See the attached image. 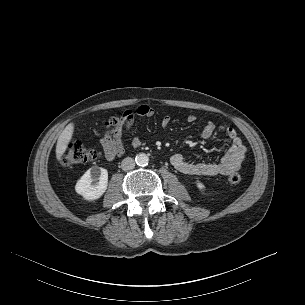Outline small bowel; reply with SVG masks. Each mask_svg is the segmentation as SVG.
Masks as SVG:
<instances>
[{
    "label": "small bowel",
    "mask_w": 305,
    "mask_h": 305,
    "mask_svg": "<svg viewBox=\"0 0 305 305\" xmlns=\"http://www.w3.org/2000/svg\"><path fill=\"white\" fill-rule=\"evenodd\" d=\"M153 116L154 110L148 105H140L119 114L117 117L118 126L116 131L114 133L106 131L100 139L104 156L108 160H114L115 158L122 156L125 152L124 134L131 128L135 118H151ZM187 121L189 123H194L197 121V117L195 115H189ZM170 122L171 117L169 115L163 116L161 119V128L164 130L167 129ZM216 128L214 122L206 121L200 130V136L203 139H209L214 134ZM219 129L225 132L231 141L230 148L219 162H192L182 154L176 153L170 157V162L174 168L186 175L201 176H225L238 171L246 158V148L234 128L219 126ZM133 145H140V141L137 137L133 139Z\"/></svg>",
    "instance_id": "small-bowel-1"
}]
</instances>
